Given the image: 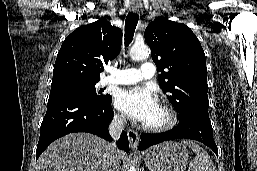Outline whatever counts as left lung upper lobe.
<instances>
[{
	"mask_svg": "<svg viewBox=\"0 0 257 171\" xmlns=\"http://www.w3.org/2000/svg\"><path fill=\"white\" fill-rule=\"evenodd\" d=\"M144 36L161 72L159 85L179 118L191 113L208 115L206 58L192 30L158 17L147 26Z\"/></svg>",
	"mask_w": 257,
	"mask_h": 171,
	"instance_id": "left-lung-upper-lobe-1",
	"label": "left lung upper lobe"
}]
</instances>
